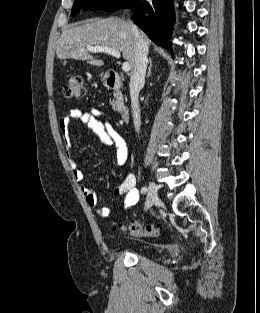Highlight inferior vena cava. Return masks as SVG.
Segmentation results:
<instances>
[{"instance_id": "1", "label": "inferior vena cava", "mask_w": 260, "mask_h": 313, "mask_svg": "<svg viewBox=\"0 0 260 313\" xmlns=\"http://www.w3.org/2000/svg\"><path fill=\"white\" fill-rule=\"evenodd\" d=\"M131 24L136 37V52L134 58V67L130 77L129 88L131 96L133 122L136 131L139 132L141 126V119L138 96L140 90L143 88L145 83V74L148 63L147 59L148 47L144 39L140 35L138 28L133 23Z\"/></svg>"}]
</instances>
